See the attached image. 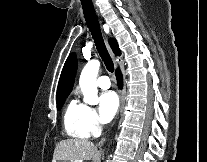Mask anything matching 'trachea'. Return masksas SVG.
Returning <instances> with one entry per match:
<instances>
[{
    "instance_id": "trachea-1",
    "label": "trachea",
    "mask_w": 207,
    "mask_h": 162,
    "mask_svg": "<svg viewBox=\"0 0 207 162\" xmlns=\"http://www.w3.org/2000/svg\"><path fill=\"white\" fill-rule=\"evenodd\" d=\"M82 7H83V12H84V17L86 20V23L88 25V28L92 34V37L94 39V43L96 46V49L104 61V64L107 68L108 71L113 72L114 71V64L112 61V58L110 57L103 37L102 33L100 30L99 22L97 20V17L94 12L93 4L91 0H81Z\"/></svg>"
}]
</instances>
